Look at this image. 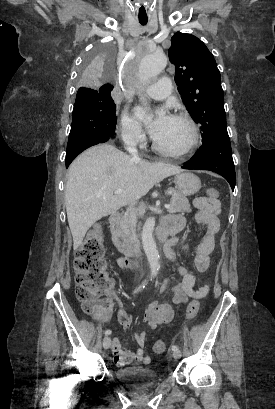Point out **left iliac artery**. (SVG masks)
<instances>
[{
    "mask_svg": "<svg viewBox=\"0 0 275 409\" xmlns=\"http://www.w3.org/2000/svg\"><path fill=\"white\" fill-rule=\"evenodd\" d=\"M172 351L178 350V347L176 345L171 346Z\"/></svg>",
    "mask_w": 275,
    "mask_h": 409,
    "instance_id": "left-iliac-artery-1",
    "label": "left iliac artery"
}]
</instances>
